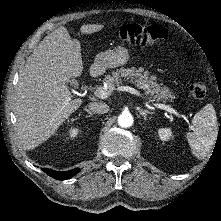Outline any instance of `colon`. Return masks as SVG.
Here are the masks:
<instances>
[{
    "mask_svg": "<svg viewBox=\"0 0 221 221\" xmlns=\"http://www.w3.org/2000/svg\"><path fill=\"white\" fill-rule=\"evenodd\" d=\"M167 29L159 25H139L125 24L115 31L117 39L138 46H146L156 41L164 39L167 36ZM190 94L197 99H202L207 94V87L204 82L195 80L189 84Z\"/></svg>",
    "mask_w": 221,
    "mask_h": 221,
    "instance_id": "5ec220e1",
    "label": "colon"
}]
</instances>
